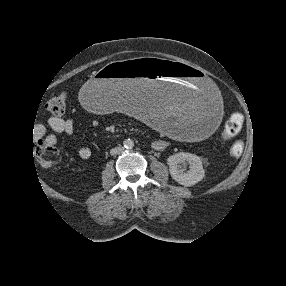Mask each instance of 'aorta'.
<instances>
[{
    "instance_id": "obj_1",
    "label": "aorta",
    "mask_w": 286,
    "mask_h": 286,
    "mask_svg": "<svg viewBox=\"0 0 286 286\" xmlns=\"http://www.w3.org/2000/svg\"><path fill=\"white\" fill-rule=\"evenodd\" d=\"M133 146H134V141H133V140H131V139H126V140L124 141V147H125L126 149H131V148H133Z\"/></svg>"
}]
</instances>
